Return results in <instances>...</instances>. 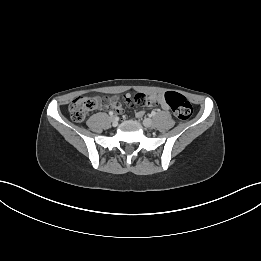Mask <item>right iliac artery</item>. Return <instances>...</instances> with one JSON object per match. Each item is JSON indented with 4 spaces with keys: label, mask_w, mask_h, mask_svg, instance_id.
Here are the masks:
<instances>
[{
    "label": "right iliac artery",
    "mask_w": 261,
    "mask_h": 261,
    "mask_svg": "<svg viewBox=\"0 0 261 261\" xmlns=\"http://www.w3.org/2000/svg\"><path fill=\"white\" fill-rule=\"evenodd\" d=\"M113 114H114L113 111H110V112H109V115H110V116H113Z\"/></svg>",
    "instance_id": "obj_1"
}]
</instances>
